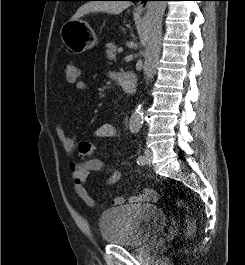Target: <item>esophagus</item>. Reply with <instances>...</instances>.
<instances>
[{"label":"esophagus","mask_w":245,"mask_h":265,"mask_svg":"<svg viewBox=\"0 0 245 265\" xmlns=\"http://www.w3.org/2000/svg\"><path fill=\"white\" fill-rule=\"evenodd\" d=\"M147 8L146 0H142L138 3L136 10L143 11Z\"/></svg>","instance_id":"34e87169"}]
</instances>
